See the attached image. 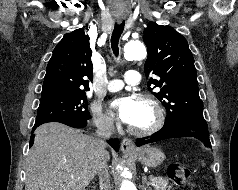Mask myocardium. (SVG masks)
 <instances>
[{"instance_id":"obj_1","label":"myocardium","mask_w":238,"mask_h":190,"mask_svg":"<svg viewBox=\"0 0 238 190\" xmlns=\"http://www.w3.org/2000/svg\"><path fill=\"white\" fill-rule=\"evenodd\" d=\"M138 101L147 104L153 111V122L145 128H137L131 125L128 126V130L133 135L144 137L156 133L160 130L165 121V114L161 104L151 95H140Z\"/></svg>"}]
</instances>
